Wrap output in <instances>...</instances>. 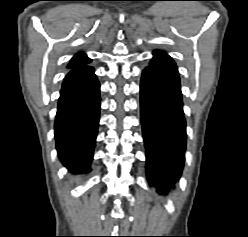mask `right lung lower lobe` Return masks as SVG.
<instances>
[{"instance_id": "obj_1", "label": "right lung lower lobe", "mask_w": 248, "mask_h": 237, "mask_svg": "<svg viewBox=\"0 0 248 237\" xmlns=\"http://www.w3.org/2000/svg\"><path fill=\"white\" fill-rule=\"evenodd\" d=\"M99 88L89 66L71 70L62 85L55 139L59 158L73 173L90 170L99 122Z\"/></svg>"}]
</instances>
